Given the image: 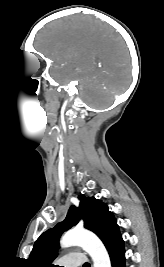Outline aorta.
Here are the masks:
<instances>
[{
	"label": "aorta",
	"instance_id": "obj_1",
	"mask_svg": "<svg viewBox=\"0 0 164 267\" xmlns=\"http://www.w3.org/2000/svg\"><path fill=\"white\" fill-rule=\"evenodd\" d=\"M62 248L82 247L92 258L94 267H111L110 258L101 240L93 233L73 229L66 232L60 241Z\"/></svg>",
	"mask_w": 164,
	"mask_h": 267
}]
</instances>
